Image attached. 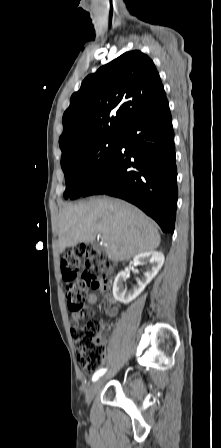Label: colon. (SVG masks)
<instances>
[{
	"instance_id": "1",
	"label": "colon",
	"mask_w": 221,
	"mask_h": 448,
	"mask_svg": "<svg viewBox=\"0 0 221 448\" xmlns=\"http://www.w3.org/2000/svg\"><path fill=\"white\" fill-rule=\"evenodd\" d=\"M61 272L68 282L66 298L69 310L82 312L86 322L72 331L78 360L86 373L96 372L103 364L105 323L92 318L85 309L88 292L108 285L111 265L105 252L92 245H75L61 258Z\"/></svg>"
}]
</instances>
